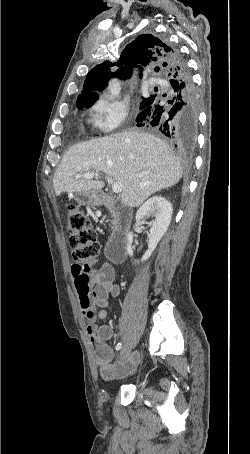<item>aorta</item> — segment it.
<instances>
[{"mask_svg":"<svg viewBox=\"0 0 250 454\" xmlns=\"http://www.w3.org/2000/svg\"><path fill=\"white\" fill-rule=\"evenodd\" d=\"M108 90H109V99L114 100L119 97L120 91H121V86L120 83L116 80L110 81L108 85Z\"/></svg>","mask_w":250,"mask_h":454,"instance_id":"obj_1","label":"aorta"}]
</instances>
